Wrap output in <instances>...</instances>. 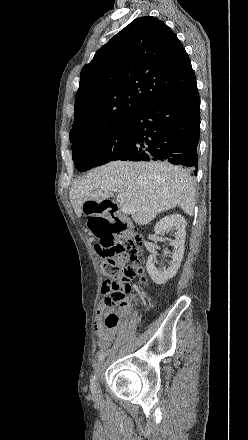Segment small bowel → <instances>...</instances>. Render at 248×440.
<instances>
[{
	"label": "small bowel",
	"mask_w": 248,
	"mask_h": 440,
	"mask_svg": "<svg viewBox=\"0 0 248 440\" xmlns=\"http://www.w3.org/2000/svg\"><path fill=\"white\" fill-rule=\"evenodd\" d=\"M109 312H114L112 309H106L103 307H99L97 310L96 318L94 321V328L96 335L98 337L97 345L101 350L107 349L110 347L112 342L115 339V336L118 332V327H107L103 322V315ZM126 312V306L123 305L120 307L118 312L116 313L118 316L124 315ZM115 313V312H114Z\"/></svg>",
	"instance_id": "small-bowel-1"
}]
</instances>
